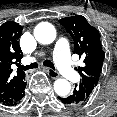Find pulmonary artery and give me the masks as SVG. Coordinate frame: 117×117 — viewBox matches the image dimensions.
<instances>
[{
	"mask_svg": "<svg viewBox=\"0 0 117 117\" xmlns=\"http://www.w3.org/2000/svg\"><path fill=\"white\" fill-rule=\"evenodd\" d=\"M54 60L58 70L69 80H76L78 73L74 69L69 56V43L67 40L59 38L55 43Z\"/></svg>",
	"mask_w": 117,
	"mask_h": 117,
	"instance_id": "1",
	"label": "pulmonary artery"
}]
</instances>
